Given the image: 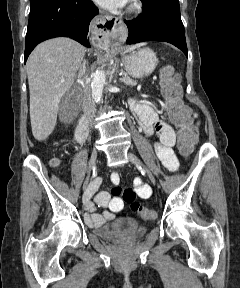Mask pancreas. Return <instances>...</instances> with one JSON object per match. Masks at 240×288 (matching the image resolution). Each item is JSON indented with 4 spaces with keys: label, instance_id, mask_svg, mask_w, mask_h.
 <instances>
[{
    "label": "pancreas",
    "instance_id": "obj_1",
    "mask_svg": "<svg viewBox=\"0 0 240 288\" xmlns=\"http://www.w3.org/2000/svg\"><path fill=\"white\" fill-rule=\"evenodd\" d=\"M125 85H135V81L133 79H131L128 75H124L121 79H120Z\"/></svg>",
    "mask_w": 240,
    "mask_h": 288
}]
</instances>
